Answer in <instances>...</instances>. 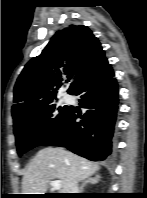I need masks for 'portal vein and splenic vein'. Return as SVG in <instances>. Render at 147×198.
Wrapping results in <instances>:
<instances>
[{
  "label": "portal vein and splenic vein",
  "mask_w": 147,
  "mask_h": 198,
  "mask_svg": "<svg viewBox=\"0 0 147 198\" xmlns=\"http://www.w3.org/2000/svg\"><path fill=\"white\" fill-rule=\"evenodd\" d=\"M50 185L52 186L53 190L61 189V182L59 180L50 181Z\"/></svg>",
  "instance_id": "obj_1"
}]
</instances>
